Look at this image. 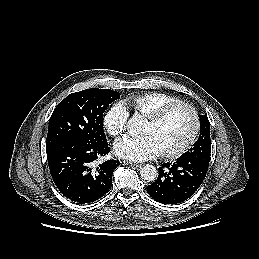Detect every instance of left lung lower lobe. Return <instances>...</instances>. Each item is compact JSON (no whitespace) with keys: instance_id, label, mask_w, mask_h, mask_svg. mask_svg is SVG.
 <instances>
[{"instance_id":"left-lung-lower-lobe-1","label":"left lung lower lobe","mask_w":259,"mask_h":259,"mask_svg":"<svg viewBox=\"0 0 259 259\" xmlns=\"http://www.w3.org/2000/svg\"><path fill=\"white\" fill-rule=\"evenodd\" d=\"M208 166L207 163L182 155L174 163L162 164L157 180L147 186V192L160 203H181L199 188Z\"/></svg>"}]
</instances>
